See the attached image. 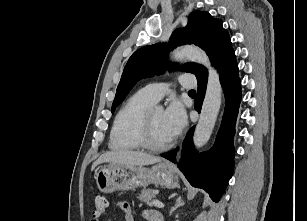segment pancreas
<instances>
[{
	"instance_id": "obj_1",
	"label": "pancreas",
	"mask_w": 307,
	"mask_h": 221,
	"mask_svg": "<svg viewBox=\"0 0 307 221\" xmlns=\"http://www.w3.org/2000/svg\"><path fill=\"white\" fill-rule=\"evenodd\" d=\"M156 197V192L153 189H147L141 191L138 195V199L147 204L148 206H153V199Z\"/></svg>"
}]
</instances>
